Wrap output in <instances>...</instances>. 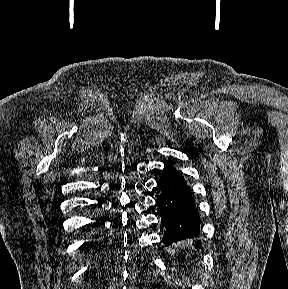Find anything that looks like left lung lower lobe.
Returning <instances> with one entry per match:
<instances>
[{"instance_id": "0a47b994", "label": "left lung lower lobe", "mask_w": 288, "mask_h": 289, "mask_svg": "<svg viewBox=\"0 0 288 289\" xmlns=\"http://www.w3.org/2000/svg\"><path fill=\"white\" fill-rule=\"evenodd\" d=\"M157 197L161 223L165 227L164 244L199 235L200 217L195 200L182 175L171 165L164 167L158 182Z\"/></svg>"}]
</instances>
